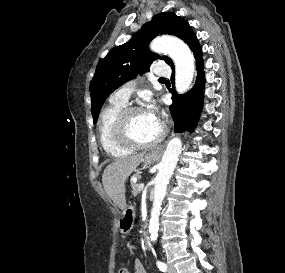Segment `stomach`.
Listing matches in <instances>:
<instances>
[{
	"label": "stomach",
	"instance_id": "0dacf381",
	"mask_svg": "<svg viewBox=\"0 0 285 273\" xmlns=\"http://www.w3.org/2000/svg\"><path fill=\"white\" fill-rule=\"evenodd\" d=\"M159 155L156 151H152L149 152L145 158H144V162L146 164H152L154 163L157 159H158ZM135 217V209L133 206L128 205L126 206L125 210H124V216L121 220V223H126L127 221L132 220ZM122 233H127L128 230L125 229L124 227L121 228Z\"/></svg>",
	"mask_w": 285,
	"mask_h": 273
}]
</instances>
